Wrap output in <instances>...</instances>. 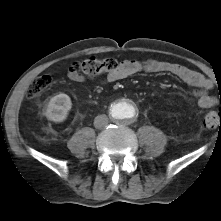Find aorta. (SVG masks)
<instances>
[{
    "label": "aorta",
    "instance_id": "aorta-1",
    "mask_svg": "<svg viewBox=\"0 0 221 221\" xmlns=\"http://www.w3.org/2000/svg\"><path fill=\"white\" fill-rule=\"evenodd\" d=\"M139 110L136 104L129 99H120L110 108L111 118L119 124H130L138 116Z\"/></svg>",
    "mask_w": 221,
    "mask_h": 221
}]
</instances>
